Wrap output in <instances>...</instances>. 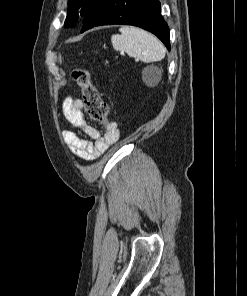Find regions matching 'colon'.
Wrapping results in <instances>:
<instances>
[{"mask_svg": "<svg viewBox=\"0 0 247 296\" xmlns=\"http://www.w3.org/2000/svg\"><path fill=\"white\" fill-rule=\"evenodd\" d=\"M72 79L81 89L83 103L89 116L94 120L108 124V106L93 85L89 71L77 68L72 72Z\"/></svg>", "mask_w": 247, "mask_h": 296, "instance_id": "colon-1", "label": "colon"}]
</instances>
